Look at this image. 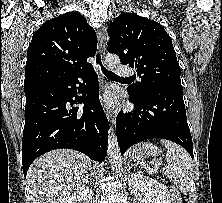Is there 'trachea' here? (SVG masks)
I'll return each mask as SVG.
<instances>
[{
	"label": "trachea",
	"mask_w": 222,
	"mask_h": 203,
	"mask_svg": "<svg viewBox=\"0 0 222 203\" xmlns=\"http://www.w3.org/2000/svg\"><path fill=\"white\" fill-rule=\"evenodd\" d=\"M96 63L101 66V70H102L103 74L106 75L107 77L111 78V79H120V80H122V79L129 80V79H131V78H121V77L117 76L115 73L107 70V69L102 65L101 58H100L99 55H97Z\"/></svg>",
	"instance_id": "obj_1"
}]
</instances>
